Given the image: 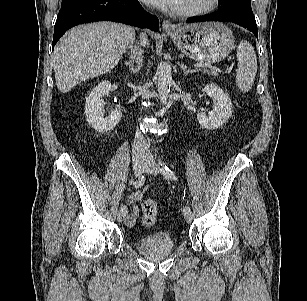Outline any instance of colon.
<instances>
[{"label": "colon", "instance_id": "obj_1", "mask_svg": "<svg viewBox=\"0 0 307 301\" xmlns=\"http://www.w3.org/2000/svg\"><path fill=\"white\" fill-rule=\"evenodd\" d=\"M158 213V205L155 200L148 199L143 203L142 222L145 226H151L155 223Z\"/></svg>", "mask_w": 307, "mask_h": 301}]
</instances>
